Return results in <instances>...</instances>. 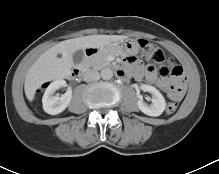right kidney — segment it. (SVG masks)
<instances>
[{
	"instance_id": "obj_1",
	"label": "right kidney",
	"mask_w": 219,
	"mask_h": 174,
	"mask_svg": "<svg viewBox=\"0 0 219 174\" xmlns=\"http://www.w3.org/2000/svg\"><path fill=\"white\" fill-rule=\"evenodd\" d=\"M66 86V81L59 79L52 82L47 87L42 98L43 109L46 113L50 115H57L67 108L72 98L71 88H68L67 92L60 97L53 95L56 90Z\"/></svg>"
}]
</instances>
